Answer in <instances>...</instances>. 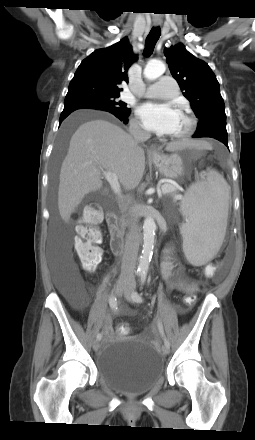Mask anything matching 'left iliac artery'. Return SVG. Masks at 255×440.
Returning <instances> with one entry per match:
<instances>
[{
    "instance_id": "44dca946",
    "label": "left iliac artery",
    "mask_w": 255,
    "mask_h": 440,
    "mask_svg": "<svg viewBox=\"0 0 255 440\" xmlns=\"http://www.w3.org/2000/svg\"><path fill=\"white\" fill-rule=\"evenodd\" d=\"M145 281H146V276H145V275H142V276H141V282H140L141 286L144 285ZM133 299H134V301L137 302V303H141V302L143 301L142 297H141L137 292H135V293L133 294ZM158 328H159V331H160V333H161V335H162V337H163L164 344H165L166 346H169V347H170V342L168 341V339L166 338V336H165V334H164L163 326H162V323H161L160 321L158 322Z\"/></svg>"
}]
</instances>
